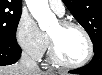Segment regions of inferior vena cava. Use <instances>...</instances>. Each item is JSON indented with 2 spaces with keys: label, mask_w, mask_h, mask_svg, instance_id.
<instances>
[{
  "label": "inferior vena cava",
  "mask_w": 102,
  "mask_h": 75,
  "mask_svg": "<svg viewBox=\"0 0 102 75\" xmlns=\"http://www.w3.org/2000/svg\"><path fill=\"white\" fill-rule=\"evenodd\" d=\"M19 64L28 70H39L37 62L34 61L26 52H22Z\"/></svg>",
  "instance_id": "obj_1"
}]
</instances>
